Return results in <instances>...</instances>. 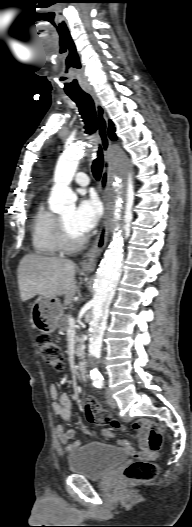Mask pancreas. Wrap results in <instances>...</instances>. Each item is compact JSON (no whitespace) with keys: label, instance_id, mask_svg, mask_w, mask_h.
<instances>
[{"label":"pancreas","instance_id":"cf45deb5","mask_svg":"<svg viewBox=\"0 0 192 527\" xmlns=\"http://www.w3.org/2000/svg\"><path fill=\"white\" fill-rule=\"evenodd\" d=\"M69 317H70L69 315H64L63 317H61L60 324H59L60 331L66 332L68 330V328H69ZM82 340H83V338L80 337L79 335H77V342H81Z\"/></svg>","mask_w":192,"mask_h":527}]
</instances>
